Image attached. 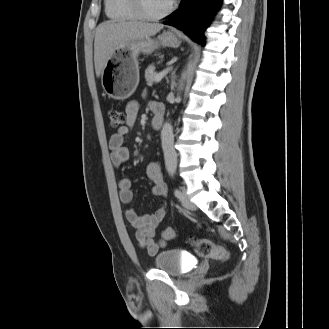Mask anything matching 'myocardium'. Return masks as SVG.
Returning a JSON list of instances; mask_svg holds the SVG:
<instances>
[{
  "instance_id": "1",
  "label": "myocardium",
  "mask_w": 329,
  "mask_h": 329,
  "mask_svg": "<svg viewBox=\"0 0 329 329\" xmlns=\"http://www.w3.org/2000/svg\"><path fill=\"white\" fill-rule=\"evenodd\" d=\"M129 2L139 19L144 20V21H150V22L158 21V20L165 18L174 9V4H173V2H171L170 5L163 12H161L159 14H149L144 9L142 0H129Z\"/></svg>"
}]
</instances>
